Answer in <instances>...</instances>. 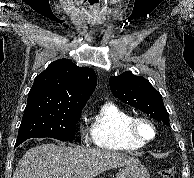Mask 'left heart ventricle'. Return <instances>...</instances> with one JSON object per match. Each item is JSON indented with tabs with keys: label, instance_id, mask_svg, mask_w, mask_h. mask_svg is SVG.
Returning a JSON list of instances; mask_svg holds the SVG:
<instances>
[{
	"label": "left heart ventricle",
	"instance_id": "1",
	"mask_svg": "<svg viewBox=\"0 0 194 178\" xmlns=\"http://www.w3.org/2000/svg\"><path fill=\"white\" fill-rule=\"evenodd\" d=\"M140 130L143 137L150 138L152 136V131L148 126L146 125L141 126Z\"/></svg>",
	"mask_w": 194,
	"mask_h": 178
}]
</instances>
